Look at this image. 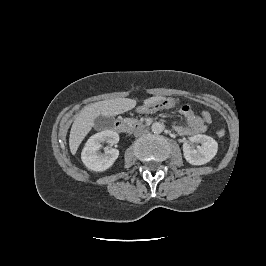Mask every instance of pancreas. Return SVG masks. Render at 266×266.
Returning <instances> with one entry per match:
<instances>
[{
	"instance_id": "obj_1",
	"label": "pancreas",
	"mask_w": 266,
	"mask_h": 266,
	"mask_svg": "<svg viewBox=\"0 0 266 266\" xmlns=\"http://www.w3.org/2000/svg\"><path fill=\"white\" fill-rule=\"evenodd\" d=\"M132 122L136 123L137 121L136 120H132Z\"/></svg>"
}]
</instances>
